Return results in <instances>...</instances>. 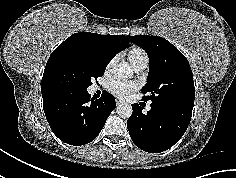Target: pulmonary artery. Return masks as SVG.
Listing matches in <instances>:
<instances>
[{"label":"pulmonary artery","mask_w":236,"mask_h":178,"mask_svg":"<svg viewBox=\"0 0 236 178\" xmlns=\"http://www.w3.org/2000/svg\"><path fill=\"white\" fill-rule=\"evenodd\" d=\"M145 68H146V66L143 65V66L137 67L135 70H136V71H142V70H144Z\"/></svg>","instance_id":"obj_1"}]
</instances>
